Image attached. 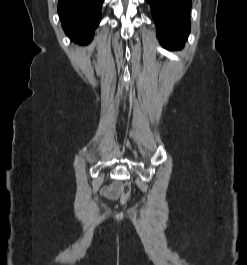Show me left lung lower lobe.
Segmentation results:
<instances>
[{"label":"left lung lower lobe","instance_id":"0a47b994","mask_svg":"<svg viewBox=\"0 0 247 265\" xmlns=\"http://www.w3.org/2000/svg\"><path fill=\"white\" fill-rule=\"evenodd\" d=\"M151 6L157 35L167 49L183 47L190 32L191 0H147Z\"/></svg>","mask_w":247,"mask_h":265}]
</instances>
